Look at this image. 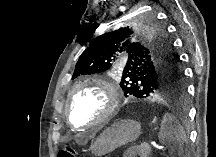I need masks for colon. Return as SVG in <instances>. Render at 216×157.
Wrapping results in <instances>:
<instances>
[{
    "label": "colon",
    "mask_w": 216,
    "mask_h": 157,
    "mask_svg": "<svg viewBox=\"0 0 216 157\" xmlns=\"http://www.w3.org/2000/svg\"><path fill=\"white\" fill-rule=\"evenodd\" d=\"M58 157H77V154L72 148L65 147L59 151Z\"/></svg>",
    "instance_id": "colon-1"
}]
</instances>
